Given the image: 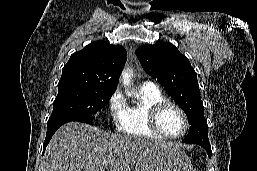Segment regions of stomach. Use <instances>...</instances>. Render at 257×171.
<instances>
[{
  "label": "stomach",
  "mask_w": 257,
  "mask_h": 171,
  "mask_svg": "<svg viewBox=\"0 0 257 171\" xmlns=\"http://www.w3.org/2000/svg\"><path fill=\"white\" fill-rule=\"evenodd\" d=\"M135 171H193L189 157L178 147L161 145L145 151Z\"/></svg>",
  "instance_id": "stomach-1"
}]
</instances>
